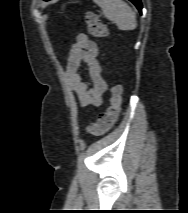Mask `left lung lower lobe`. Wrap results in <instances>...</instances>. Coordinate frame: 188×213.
I'll return each mask as SVG.
<instances>
[{
    "label": "left lung lower lobe",
    "instance_id": "obj_1",
    "mask_svg": "<svg viewBox=\"0 0 188 213\" xmlns=\"http://www.w3.org/2000/svg\"><path fill=\"white\" fill-rule=\"evenodd\" d=\"M47 1V0H46ZM134 5L138 8V10L141 12L142 10V5L140 0H130Z\"/></svg>",
    "mask_w": 188,
    "mask_h": 213
}]
</instances>
